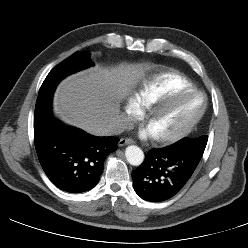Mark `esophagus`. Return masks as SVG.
Instances as JSON below:
<instances>
[{
  "label": "esophagus",
  "instance_id": "34e87169",
  "mask_svg": "<svg viewBox=\"0 0 248 248\" xmlns=\"http://www.w3.org/2000/svg\"><path fill=\"white\" fill-rule=\"evenodd\" d=\"M134 140L130 139V138H122L120 139L118 145L119 146H125V145H129V144H133Z\"/></svg>",
  "mask_w": 248,
  "mask_h": 248
}]
</instances>
